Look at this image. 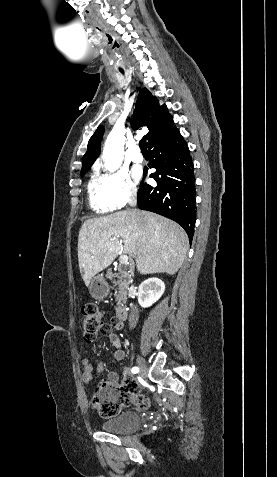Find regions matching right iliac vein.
Instances as JSON below:
<instances>
[{
	"label": "right iliac vein",
	"mask_w": 277,
	"mask_h": 477,
	"mask_svg": "<svg viewBox=\"0 0 277 477\" xmlns=\"http://www.w3.org/2000/svg\"><path fill=\"white\" fill-rule=\"evenodd\" d=\"M137 364H138L140 376L144 378L147 375V365L144 359L142 357H138Z\"/></svg>",
	"instance_id": "right-iliac-vein-1"
}]
</instances>
